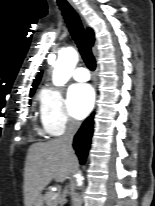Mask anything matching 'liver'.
<instances>
[{"instance_id":"6515ba94","label":"liver","mask_w":155,"mask_h":206,"mask_svg":"<svg viewBox=\"0 0 155 206\" xmlns=\"http://www.w3.org/2000/svg\"><path fill=\"white\" fill-rule=\"evenodd\" d=\"M76 163L74 152L66 150L59 139L30 146L24 172V203L32 206L44 188L54 179H68Z\"/></svg>"}]
</instances>
